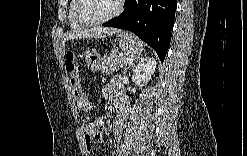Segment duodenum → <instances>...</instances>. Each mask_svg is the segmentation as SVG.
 Here are the masks:
<instances>
[{
    "label": "duodenum",
    "mask_w": 247,
    "mask_h": 156,
    "mask_svg": "<svg viewBox=\"0 0 247 156\" xmlns=\"http://www.w3.org/2000/svg\"><path fill=\"white\" fill-rule=\"evenodd\" d=\"M121 114H122V112H121V111H119V112L117 113V117H120V116H121Z\"/></svg>",
    "instance_id": "1"
}]
</instances>
